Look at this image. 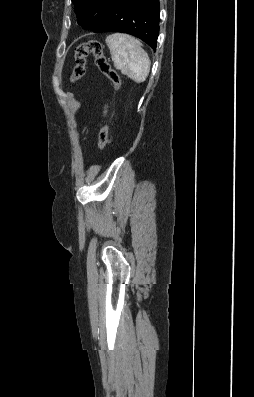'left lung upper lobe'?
<instances>
[{"mask_svg": "<svg viewBox=\"0 0 254 397\" xmlns=\"http://www.w3.org/2000/svg\"><path fill=\"white\" fill-rule=\"evenodd\" d=\"M107 0H72L75 3L77 23L93 30L102 20Z\"/></svg>", "mask_w": 254, "mask_h": 397, "instance_id": "left-lung-upper-lobe-1", "label": "left lung upper lobe"}]
</instances>
